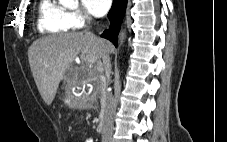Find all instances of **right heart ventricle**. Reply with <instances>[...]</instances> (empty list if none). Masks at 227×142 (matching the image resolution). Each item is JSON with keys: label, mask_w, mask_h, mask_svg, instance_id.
<instances>
[{"label": "right heart ventricle", "mask_w": 227, "mask_h": 142, "mask_svg": "<svg viewBox=\"0 0 227 142\" xmlns=\"http://www.w3.org/2000/svg\"><path fill=\"white\" fill-rule=\"evenodd\" d=\"M36 26L42 34H63L72 28L69 12L55 0H40Z\"/></svg>", "instance_id": "obj_1"}]
</instances>
